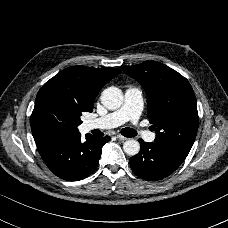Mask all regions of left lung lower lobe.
Listing matches in <instances>:
<instances>
[{
	"instance_id": "0a47b994",
	"label": "left lung lower lobe",
	"mask_w": 228,
	"mask_h": 228,
	"mask_svg": "<svg viewBox=\"0 0 228 228\" xmlns=\"http://www.w3.org/2000/svg\"><path fill=\"white\" fill-rule=\"evenodd\" d=\"M140 152L130 158L133 172L140 178L157 181L172 174L185 160L189 151L160 145L158 143L144 142L139 139Z\"/></svg>"
}]
</instances>
